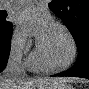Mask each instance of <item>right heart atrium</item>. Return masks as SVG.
I'll list each match as a JSON object with an SVG mask.
<instances>
[{
	"label": "right heart atrium",
	"instance_id": "obj_1",
	"mask_svg": "<svg viewBox=\"0 0 89 89\" xmlns=\"http://www.w3.org/2000/svg\"><path fill=\"white\" fill-rule=\"evenodd\" d=\"M30 48L29 39L20 29L15 28L11 37V51L17 56L25 55Z\"/></svg>",
	"mask_w": 89,
	"mask_h": 89
}]
</instances>
